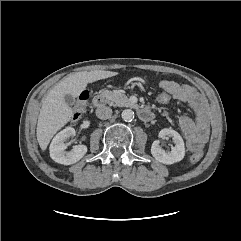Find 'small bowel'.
Listing matches in <instances>:
<instances>
[{
    "label": "small bowel",
    "instance_id": "c3829d8e",
    "mask_svg": "<svg viewBox=\"0 0 241 241\" xmlns=\"http://www.w3.org/2000/svg\"><path fill=\"white\" fill-rule=\"evenodd\" d=\"M158 85L170 93L172 99L186 103L193 110L194 117L181 116L179 126L185 136L187 148L192 152L200 151L209 136L206 105L200 93L190 85L171 80H162Z\"/></svg>",
    "mask_w": 241,
    "mask_h": 241
}]
</instances>
